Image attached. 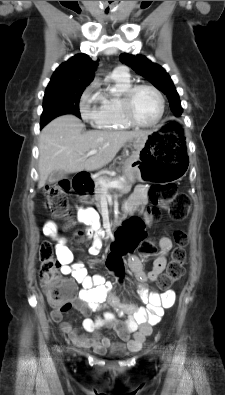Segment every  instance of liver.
Instances as JSON below:
<instances>
[{
  "label": "liver",
  "instance_id": "6515ba94",
  "mask_svg": "<svg viewBox=\"0 0 225 395\" xmlns=\"http://www.w3.org/2000/svg\"><path fill=\"white\" fill-rule=\"evenodd\" d=\"M74 115L55 118L41 131L39 137V183L45 185L56 171L75 173L93 171L109 164L119 150L134 140L146 141L151 131H89ZM91 150H98L85 157Z\"/></svg>",
  "mask_w": 225,
  "mask_h": 395
}]
</instances>
